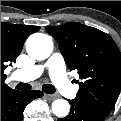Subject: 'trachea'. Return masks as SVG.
Instances as JSON below:
<instances>
[{"label": "trachea", "mask_w": 121, "mask_h": 121, "mask_svg": "<svg viewBox=\"0 0 121 121\" xmlns=\"http://www.w3.org/2000/svg\"><path fill=\"white\" fill-rule=\"evenodd\" d=\"M16 89H18V90H29V89H31V86L27 83H19L16 86ZM42 89L45 93H48V94H53L56 91L55 87L52 86L51 84H44L42 86Z\"/></svg>", "instance_id": "obj_1"}]
</instances>
